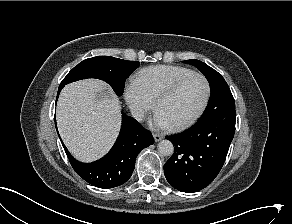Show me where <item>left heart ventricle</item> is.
<instances>
[{
	"mask_svg": "<svg viewBox=\"0 0 292 224\" xmlns=\"http://www.w3.org/2000/svg\"><path fill=\"white\" fill-rule=\"evenodd\" d=\"M205 97V84L200 78L185 83L172 97L163 101L160 111L170 125L180 124L190 119L200 108Z\"/></svg>",
	"mask_w": 292,
	"mask_h": 224,
	"instance_id": "b2bd125f",
	"label": "left heart ventricle"
}]
</instances>
